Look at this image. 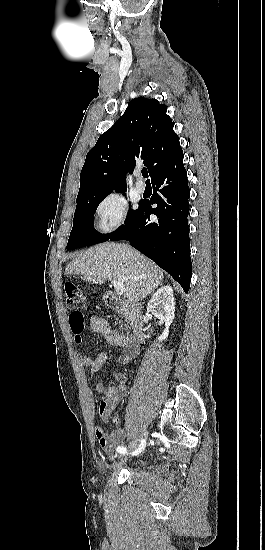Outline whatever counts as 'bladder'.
Returning a JSON list of instances; mask_svg holds the SVG:
<instances>
[{
	"label": "bladder",
	"instance_id": "bladder-1",
	"mask_svg": "<svg viewBox=\"0 0 265 550\" xmlns=\"http://www.w3.org/2000/svg\"><path fill=\"white\" fill-rule=\"evenodd\" d=\"M145 464H146V461H141V462L139 463V466H143V465H145Z\"/></svg>",
	"mask_w": 265,
	"mask_h": 550
}]
</instances>
